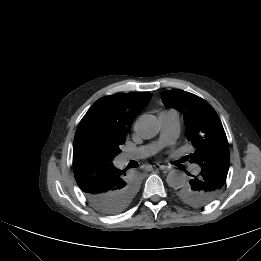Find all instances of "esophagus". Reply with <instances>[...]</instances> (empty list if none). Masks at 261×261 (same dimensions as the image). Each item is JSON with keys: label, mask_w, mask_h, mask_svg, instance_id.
Wrapping results in <instances>:
<instances>
[{"label": "esophagus", "mask_w": 261, "mask_h": 261, "mask_svg": "<svg viewBox=\"0 0 261 261\" xmlns=\"http://www.w3.org/2000/svg\"><path fill=\"white\" fill-rule=\"evenodd\" d=\"M165 169H166V167L164 165L156 164V165L151 166L150 171H153V170L158 171V170H165Z\"/></svg>", "instance_id": "esophagus-1"}]
</instances>
